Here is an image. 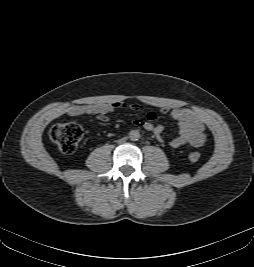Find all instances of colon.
I'll use <instances>...</instances> for the list:
<instances>
[{
    "mask_svg": "<svg viewBox=\"0 0 254 267\" xmlns=\"http://www.w3.org/2000/svg\"><path fill=\"white\" fill-rule=\"evenodd\" d=\"M83 133L82 126L75 121L55 124L49 132L51 140L57 144L64 154H71L76 150ZM200 157L199 152H191L188 155L191 162L199 161Z\"/></svg>",
    "mask_w": 254,
    "mask_h": 267,
    "instance_id": "1",
    "label": "colon"
}]
</instances>
